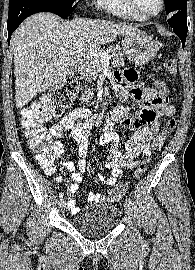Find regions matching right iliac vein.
Segmentation results:
<instances>
[{
	"label": "right iliac vein",
	"instance_id": "63e3f726",
	"mask_svg": "<svg viewBox=\"0 0 195 270\" xmlns=\"http://www.w3.org/2000/svg\"><path fill=\"white\" fill-rule=\"evenodd\" d=\"M65 207H66V201H65V199H61V200L59 201V208H60V211L62 212V211L65 209Z\"/></svg>",
	"mask_w": 195,
	"mask_h": 270
}]
</instances>
